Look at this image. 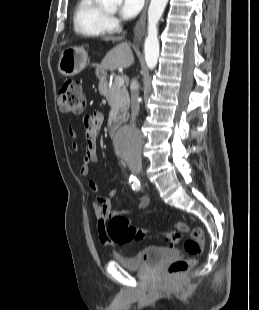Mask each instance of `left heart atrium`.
Wrapping results in <instances>:
<instances>
[{
	"mask_svg": "<svg viewBox=\"0 0 259 310\" xmlns=\"http://www.w3.org/2000/svg\"><path fill=\"white\" fill-rule=\"evenodd\" d=\"M144 4V0H122L120 15L124 19H132L138 15Z\"/></svg>",
	"mask_w": 259,
	"mask_h": 310,
	"instance_id": "left-heart-atrium-1",
	"label": "left heart atrium"
}]
</instances>
